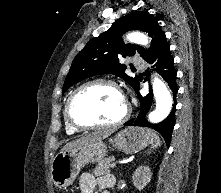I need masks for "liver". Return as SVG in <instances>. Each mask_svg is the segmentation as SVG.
Segmentation results:
<instances>
[{"instance_id": "1", "label": "liver", "mask_w": 221, "mask_h": 193, "mask_svg": "<svg viewBox=\"0 0 221 193\" xmlns=\"http://www.w3.org/2000/svg\"><path fill=\"white\" fill-rule=\"evenodd\" d=\"M110 134H111L110 130H99V131L92 132V133L85 135L77 140L67 143L62 148L61 152L70 150L72 148L80 147V146L87 144V143L100 141L102 139L107 138Z\"/></svg>"}]
</instances>
